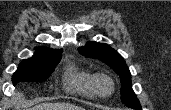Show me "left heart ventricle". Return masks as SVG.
I'll use <instances>...</instances> for the list:
<instances>
[{"instance_id":"b2bd125f","label":"left heart ventricle","mask_w":171,"mask_h":110,"mask_svg":"<svg viewBox=\"0 0 171 110\" xmlns=\"http://www.w3.org/2000/svg\"><path fill=\"white\" fill-rule=\"evenodd\" d=\"M101 90L105 93H108L110 91V84L107 81H102L100 84Z\"/></svg>"}]
</instances>
